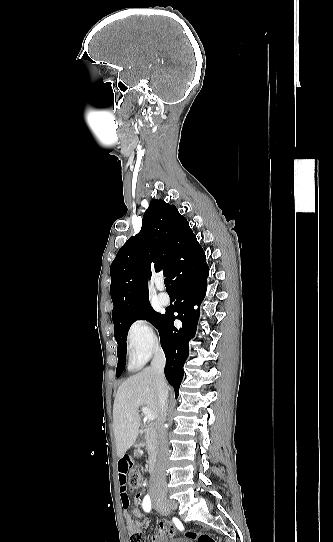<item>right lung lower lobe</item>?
<instances>
[{"instance_id": "obj_1", "label": "right lung lower lobe", "mask_w": 333, "mask_h": 542, "mask_svg": "<svg viewBox=\"0 0 333 542\" xmlns=\"http://www.w3.org/2000/svg\"><path fill=\"white\" fill-rule=\"evenodd\" d=\"M208 274L205 253L197 240L177 253L171 281L176 302L167 309L158 327L166 356L165 376L174 387L176 398L184 374L183 365L188 356V342L195 334L199 317L193 307L199 306L204 299ZM174 312L178 315L175 316ZM175 319L181 320L182 327L174 326Z\"/></svg>"}]
</instances>
